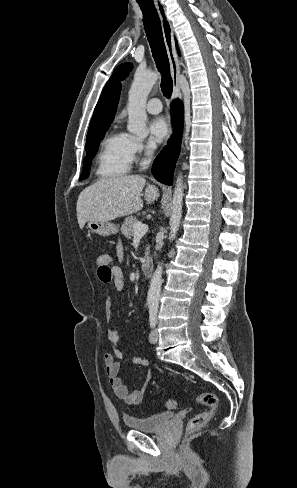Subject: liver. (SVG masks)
<instances>
[{
  "mask_svg": "<svg viewBox=\"0 0 297 488\" xmlns=\"http://www.w3.org/2000/svg\"><path fill=\"white\" fill-rule=\"evenodd\" d=\"M146 181L142 176L129 175L100 179L85 188L77 201V219L81 229L87 221L109 222L140 211L141 192ZM159 196L155 185L145 188L144 199L152 204Z\"/></svg>",
  "mask_w": 297,
  "mask_h": 488,
  "instance_id": "obj_1",
  "label": "liver"
}]
</instances>
